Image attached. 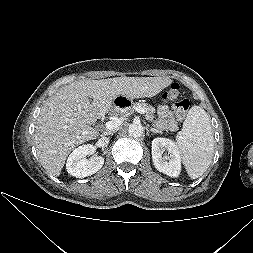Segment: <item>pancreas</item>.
Masks as SVG:
<instances>
[{
    "mask_svg": "<svg viewBox=\"0 0 253 253\" xmlns=\"http://www.w3.org/2000/svg\"><path fill=\"white\" fill-rule=\"evenodd\" d=\"M136 108H142L144 110L145 118L147 120H154L155 108L153 106L145 102H136L133 104L131 110H135Z\"/></svg>",
    "mask_w": 253,
    "mask_h": 253,
    "instance_id": "cf45deb5",
    "label": "pancreas"
}]
</instances>
